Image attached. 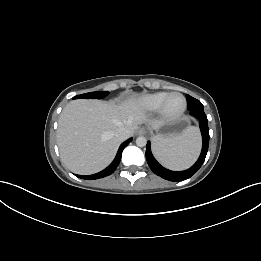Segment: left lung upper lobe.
<instances>
[{
	"instance_id": "5c2ea615",
	"label": "left lung upper lobe",
	"mask_w": 261,
	"mask_h": 261,
	"mask_svg": "<svg viewBox=\"0 0 261 261\" xmlns=\"http://www.w3.org/2000/svg\"><path fill=\"white\" fill-rule=\"evenodd\" d=\"M186 99H187L188 110H204L203 105L199 100L189 95H186Z\"/></svg>"
}]
</instances>
